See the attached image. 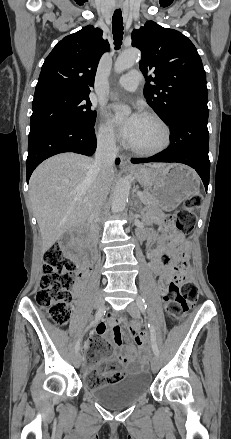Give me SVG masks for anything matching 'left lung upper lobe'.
Listing matches in <instances>:
<instances>
[{
    "mask_svg": "<svg viewBox=\"0 0 231 439\" xmlns=\"http://www.w3.org/2000/svg\"><path fill=\"white\" fill-rule=\"evenodd\" d=\"M132 46L142 52L139 67L147 80L144 96L163 121L168 123L174 113L187 107H207L206 73L186 36L148 21L133 30Z\"/></svg>",
    "mask_w": 231,
    "mask_h": 439,
    "instance_id": "obj_1",
    "label": "left lung upper lobe"
}]
</instances>
